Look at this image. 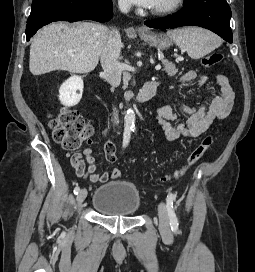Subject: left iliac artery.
<instances>
[{
	"instance_id": "left-iliac-artery-1",
	"label": "left iliac artery",
	"mask_w": 255,
	"mask_h": 272,
	"mask_svg": "<svg viewBox=\"0 0 255 272\" xmlns=\"http://www.w3.org/2000/svg\"><path fill=\"white\" fill-rule=\"evenodd\" d=\"M175 200H176V196L173 193H169L166 198V208H167L168 216L170 219V226H171V229L174 233L177 232L178 226H179L178 218H177L175 211L173 209V204H174Z\"/></svg>"
}]
</instances>
